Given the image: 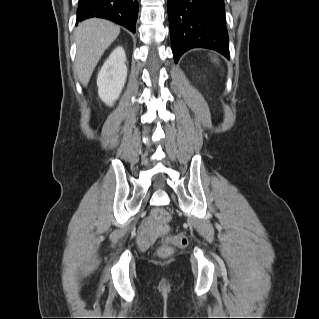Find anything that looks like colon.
<instances>
[{"label": "colon", "instance_id": "colon-1", "mask_svg": "<svg viewBox=\"0 0 319 319\" xmlns=\"http://www.w3.org/2000/svg\"><path fill=\"white\" fill-rule=\"evenodd\" d=\"M149 224L156 228L158 233L164 237V244L159 251L160 256H169L175 248H184L186 246L187 238L182 233L166 236L169 228V214L166 209H157L150 218Z\"/></svg>", "mask_w": 319, "mask_h": 319}]
</instances>
